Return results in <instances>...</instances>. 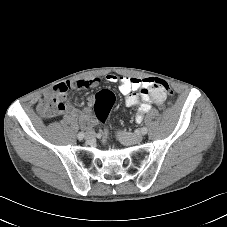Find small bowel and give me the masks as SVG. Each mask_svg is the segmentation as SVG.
<instances>
[{
	"label": "small bowel",
	"instance_id": "obj_1",
	"mask_svg": "<svg viewBox=\"0 0 227 227\" xmlns=\"http://www.w3.org/2000/svg\"><path fill=\"white\" fill-rule=\"evenodd\" d=\"M150 79L151 78L118 76L115 74H108L106 76L107 82L118 85L119 92L125 98L126 107L137 108V122L143 120L145 114L150 111L153 105L161 106L165 103L167 98V93L164 89L160 85L152 86L150 84ZM99 84V78L60 83L55 86L51 92L43 95L38 104V111L45 118H53L62 114H67L78 119L82 126L89 127L94 122L90 117L94 98L89 97L87 100L88 106L84 110H78L67 99L66 92L72 88L84 89L96 87Z\"/></svg>",
	"mask_w": 227,
	"mask_h": 227
}]
</instances>
